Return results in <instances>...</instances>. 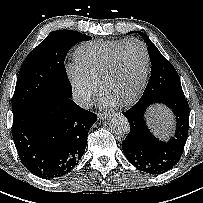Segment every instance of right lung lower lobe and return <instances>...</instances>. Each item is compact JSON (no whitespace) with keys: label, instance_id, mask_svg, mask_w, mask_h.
I'll list each match as a JSON object with an SVG mask.
<instances>
[{"label":"right lung lower lobe","instance_id":"right-lung-lower-lobe-1","mask_svg":"<svg viewBox=\"0 0 203 203\" xmlns=\"http://www.w3.org/2000/svg\"><path fill=\"white\" fill-rule=\"evenodd\" d=\"M96 120L71 98L44 100L15 114L12 133L22 164L43 179L68 174L84 154Z\"/></svg>","mask_w":203,"mask_h":203}]
</instances>
